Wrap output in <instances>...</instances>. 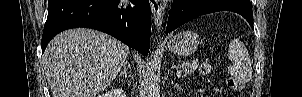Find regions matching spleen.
<instances>
[{
  "mask_svg": "<svg viewBox=\"0 0 302 97\" xmlns=\"http://www.w3.org/2000/svg\"><path fill=\"white\" fill-rule=\"evenodd\" d=\"M228 58L232 62L228 68L230 74L239 81H250L252 78L250 59L247 49L240 40L233 39L230 42Z\"/></svg>",
  "mask_w": 302,
  "mask_h": 97,
  "instance_id": "spleen-1",
  "label": "spleen"
}]
</instances>
